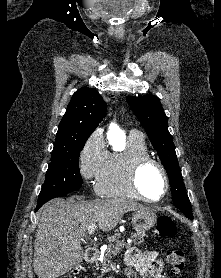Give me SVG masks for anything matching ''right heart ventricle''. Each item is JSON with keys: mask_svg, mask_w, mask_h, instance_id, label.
Here are the masks:
<instances>
[{"mask_svg": "<svg viewBox=\"0 0 221 278\" xmlns=\"http://www.w3.org/2000/svg\"><path fill=\"white\" fill-rule=\"evenodd\" d=\"M146 155L149 152L144 138L131 134L124 150L109 152L105 169L96 180L97 191L105 197L138 198L130 187L128 169L134 158Z\"/></svg>", "mask_w": 221, "mask_h": 278, "instance_id": "obj_1", "label": "right heart ventricle"}]
</instances>
